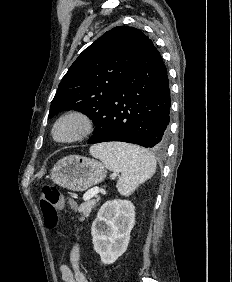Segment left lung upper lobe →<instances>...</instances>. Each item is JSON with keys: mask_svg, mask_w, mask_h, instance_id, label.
Masks as SVG:
<instances>
[{"mask_svg": "<svg viewBox=\"0 0 232 282\" xmlns=\"http://www.w3.org/2000/svg\"><path fill=\"white\" fill-rule=\"evenodd\" d=\"M148 41L134 27L117 26L104 33L78 56L62 78L49 118L62 110L74 109L99 123Z\"/></svg>", "mask_w": 232, "mask_h": 282, "instance_id": "left-lung-upper-lobe-1", "label": "left lung upper lobe"}]
</instances>
